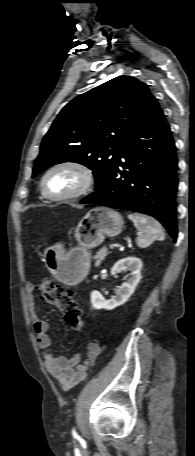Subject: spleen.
I'll return each instance as SVG.
<instances>
[{
  "label": "spleen",
  "mask_w": 195,
  "mask_h": 456,
  "mask_svg": "<svg viewBox=\"0 0 195 456\" xmlns=\"http://www.w3.org/2000/svg\"><path fill=\"white\" fill-rule=\"evenodd\" d=\"M128 218L133 221L135 227L140 231L136 240L139 247L145 248L156 239L164 240V231L156 219L138 213L129 214Z\"/></svg>",
  "instance_id": "3e777b00"
}]
</instances>
